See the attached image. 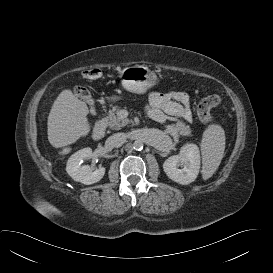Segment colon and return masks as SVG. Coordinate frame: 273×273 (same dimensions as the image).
Here are the masks:
<instances>
[{"label":"colon","instance_id":"5ec220e1","mask_svg":"<svg viewBox=\"0 0 273 273\" xmlns=\"http://www.w3.org/2000/svg\"><path fill=\"white\" fill-rule=\"evenodd\" d=\"M83 77L87 80H97L101 77V71L97 68H88L83 71ZM74 94L79 98L92 102V95L90 90L82 85H76L73 88ZM221 99L218 95H209L204 97L197 105V115L203 123H210L212 121L211 109L218 106Z\"/></svg>","mask_w":273,"mask_h":273}]
</instances>
